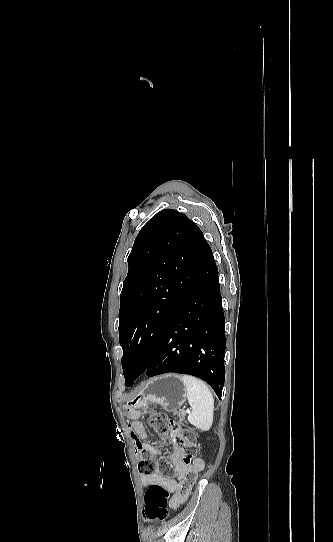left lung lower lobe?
Returning <instances> with one entry per match:
<instances>
[{
	"label": "left lung lower lobe",
	"instance_id": "0a47b994",
	"mask_svg": "<svg viewBox=\"0 0 333 542\" xmlns=\"http://www.w3.org/2000/svg\"><path fill=\"white\" fill-rule=\"evenodd\" d=\"M224 327L218 270L211 251L167 322L146 375H193L206 381L221 398L225 380ZM133 382L127 381L126 386Z\"/></svg>",
	"mask_w": 333,
	"mask_h": 542
}]
</instances>
